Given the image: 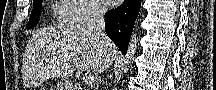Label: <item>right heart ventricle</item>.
<instances>
[{"mask_svg":"<svg viewBox=\"0 0 216 90\" xmlns=\"http://www.w3.org/2000/svg\"><path fill=\"white\" fill-rule=\"evenodd\" d=\"M75 8L76 4H56V6L50 7L51 14L55 16V20H50V24H71V20L66 19H71V16L77 13Z\"/></svg>","mask_w":216,"mask_h":90,"instance_id":"right-heart-ventricle-1","label":"right heart ventricle"}]
</instances>
